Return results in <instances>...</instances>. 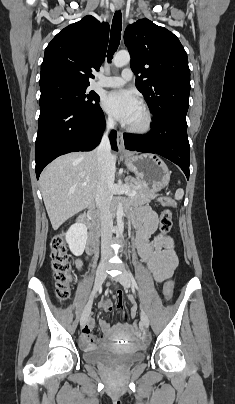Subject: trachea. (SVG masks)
<instances>
[{"instance_id": "1", "label": "trachea", "mask_w": 235, "mask_h": 404, "mask_svg": "<svg viewBox=\"0 0 235 404\" xmlns=\"http://www.w3.org/2000/svg\"><path fill=\"white\" fill-rule=\"evenodd\" d=\"M121 30H122V14L121 11H116L112 21L110 43L107 51L108 62H111L113 55L119 46L121 39Z\"/></svg>"}]
</instances>
